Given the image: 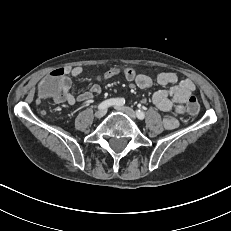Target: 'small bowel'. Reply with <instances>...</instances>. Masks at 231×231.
<instances>
[{
	"instance_id": "1",
	"label": "small bowel",
	"mask_w": 231,
	"mask_h": 231,
	"mask_svg": "<svg viewBox=\"0 0 231 231\" xmlns=\"http://www.w3.org/2000/svg\"><path fill=\"white\" fill-rule=\"evenodd\" d=\"M62 71L64 72V77L58 85L61 90V97L56 99V102H67L69 105L74 106L78 102L91 101L102 92L98 83L91 84L83 92L71 90L72 78H76L84 72L82 66H67L62 68ZM137 74V78L133 82L140 91L169 86L167 89L155 91L152 95V103L160 111L170 113L163 118L164 127L169 130L175 129L178 126L177 115L183 114V109L187 105V98L193 95L195 90L194 82L190 79L179 80L174 72H161L155 77H150L144 73Z\"/></svg>"
}]
</instances>
